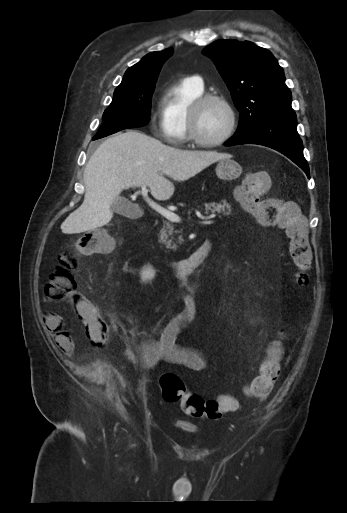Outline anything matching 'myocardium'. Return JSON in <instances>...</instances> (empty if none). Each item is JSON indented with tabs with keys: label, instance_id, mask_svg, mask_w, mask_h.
I'll use <instances>...</instances> for the list:
<instances>
[{
	"label": "myocardium",
	"instance_id": "f54148a6",
	"mask_svg": "<svg viewBox=\"0 0 347 513\" xmlns=\"http://www.w3.org/2000/svg\"><path fill=\"white\" fill-rule=\"evenodd\" d=\"M209 102H217L225 107L229 116V123L225 133L216 140H205L203 139L197 130V117L200 109L208 104ZM237 125V115L236 111L231 104V102L224 96L213 93H204L195 100L189 106L188 114H187V129H188V138L191 142L195 143L198 146L206 147V148H214L224 144L227 140H229L235 132Z\"/></svg>",
	"mask_w": 347,
	"mask_h": 513
}]
</instances>
